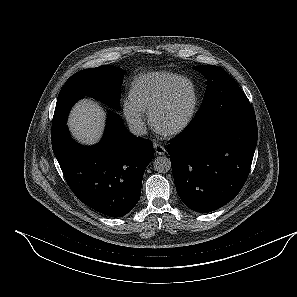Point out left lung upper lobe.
Instances as JSON below:
<instances>
[{
    "instance_id": "obj_1",
    "label": "left lung upper lobe",
    "mask_w": 297,
    "mask_h": 297,
    "mask_svg": "<svg viewBox=\"0 0 297 297\" xmlns=\"http://www.w3.org/2000/svg\"><path fill=\"white\" fill-rule=\"evenodd\" d=\"M193 69L199 71L207 79L206 92L201 107L194 117L195 119L200 116L205 108L209 107L211 111H216L229 103L249 101L236 82L222 68L195 66Z\"/></svg>"
}]
</instances>
